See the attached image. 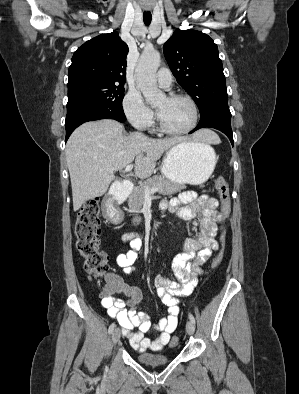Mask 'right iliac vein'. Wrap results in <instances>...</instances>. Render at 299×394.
<instances>
[{
	"mask_svg": "<svg viewBox=\"0 0 299 394\" xmlns=\"http://www.w3.org/2000/svg\"><path fill=\"white\" fill-rule=\"evenodd\" d=\"M120 336H121L120 328H115L113 333H112V342H113V344H116L119 341Z\"/></svg>",
	"mask_w": 299,
	"mask_h": 394,
	"instance_id": "63e3f726",
	"label": "right iliac vein"
}]
</instances>
